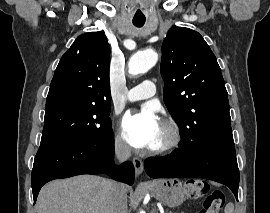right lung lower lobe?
Instances as JSON below:
<instances>
[{
	"label": "right lung lower lobe",
	"instance_id": "98d812e1",
	"mask_svg": "<svg viewBox=\"0 0 270 213\" xmlns=\"http://www.w3.org/2000/svg\"><path fill=\"white\" fill-rule=\"evenodd\" d=\"M113 133L104 139L82 142L46 141L36 154L31 184L34 203L41 187L54 179L81 174L107 173L131 185L134 167L131 162L114 165Z\"/></svg>",
	"mask_w": 270,
	"mask_h": 213
}]
</instances>
